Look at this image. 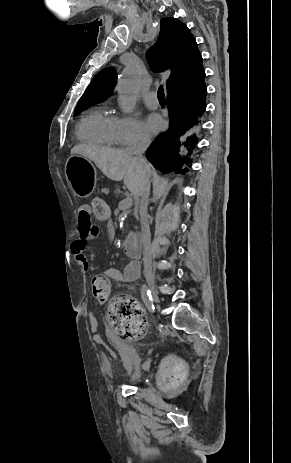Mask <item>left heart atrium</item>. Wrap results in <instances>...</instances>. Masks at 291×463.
<instances>
[{
	"mask_svg": "<svg viewBox=\"0 0 291 463\" xmlns=\"http://www.w3.org/2000/svg\"><path fill=\"white\" fill-rule=\"evenodd\" d=\"M164 126L163 120L158 114H149L146 118V127L152 133L159 132Z\"/></svg>",
	"mask_w": 291,
	"mask_h": 463,
	"instance_id": "left-heart-atrium-1",
	"label": "left heart atrium"
}]
</instances>
